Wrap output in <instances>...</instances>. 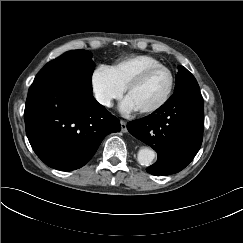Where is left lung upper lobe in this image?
Returning a JSON list of instances; mask_svg holds the SVG:
<instances>
[{"label":"left lung upper lobe","mask_w":243,"mask_h":243,"mask_svg":"<svg viewBox=\"0 0 243 243\" xmlns=\"http://www.w3.org/2000/svg\"><path fill=\"white\" fill-rule=\"evenodd\" d=\"M190 88L199 89V85L195 77L186 68L179 66L174 93Z\"/></svg>","instance_id":"1"}]
</instances>
